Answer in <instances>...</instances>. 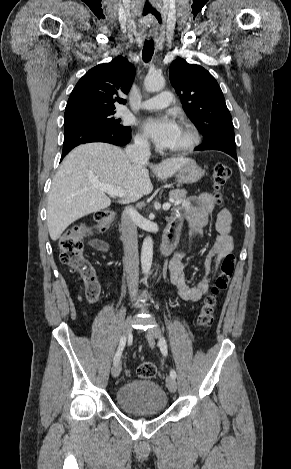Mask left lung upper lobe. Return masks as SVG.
<instances>
[{"label": "left lung upper lobe", "mask_w": 291, "mask_h": 469, "mask_svg": "<svg viewBox=\"0 0 291 469\" xmlns=\"http://www.w3.org/2000/svg\"><path fill=\"white\" fill-rule=\"evenodd\" d=\"M170 81L184 111L204 136V144L234 138L232 117L215 78L203 67L182 58L170 66Z\"/></svg>", "instance_id": "5c2ea615"}]
</instances>
